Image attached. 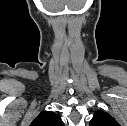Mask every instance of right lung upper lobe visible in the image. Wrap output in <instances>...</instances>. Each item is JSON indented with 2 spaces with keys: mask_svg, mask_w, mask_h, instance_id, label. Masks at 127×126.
Returning a JSON list of instances; mask_svg holds the SVG:
<instances>
[{
  "mask_svg": "<svg viewBox=\"0 0 127 126\" xmlns=\"http://www.w3.org/2000/svg\"><path fill=\"white\" fill-rule=\"evenodd\" d=\"M30 126H64L58 114L43 111L33 120Z\"/></svg>",
  "mask_w": 127,
  "mask_h": 126,
  "instance_id": "right-lung-upper-lobe-1",
  "label": "right lung upper lobe"
}]
</instances>
